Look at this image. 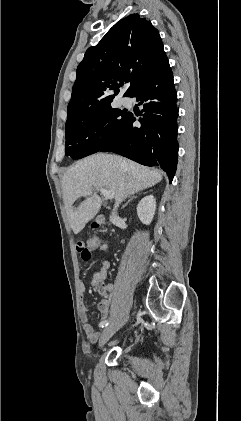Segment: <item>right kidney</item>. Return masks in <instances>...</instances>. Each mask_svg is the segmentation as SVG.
Wrapping results in <instances>:
<instances>
[{
	"mask_svg": "<svg viewBox=\"0 0 241 421\" xmlns=\"http://www.w3.org/2000/svg\"><path fill=\"white\" fill-rule=\"evenodd\" d=\"M156 210V200L153 195L145 196L137 205V214L142 223L149 225Z\"/></svg>",
	"mask_w": 241,
	"mask_h": 421,
	"instance_id": "right-kidney-1",
	"label": "right kidney"
}]
</instances>
